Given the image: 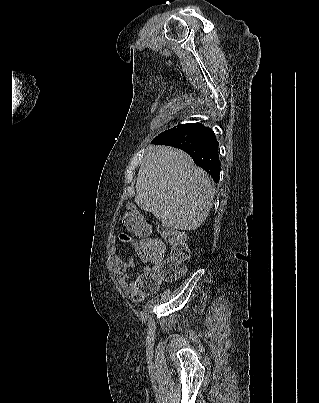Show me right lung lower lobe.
I'll list each match as a JSON object with an SVG mask.
<instances>
[{"instance_id": "obj_1", "label": "right lung lower lobe", "mask_w": 319, "mask_h": 403, "mask_svg": "<svg viewBox=\"0 0 319 403\" xmlns=\"http://www.w3.org/2000/svg\"><path fill=\"white\" fill-rule=\"evenodd\" d=\"M152 143L184 150L192 157L196 165L202 167L216 183L218 182L221 169L218 142L210 128L199 123L172 128L160 133Z\"/></svg>"}]
</instances>
